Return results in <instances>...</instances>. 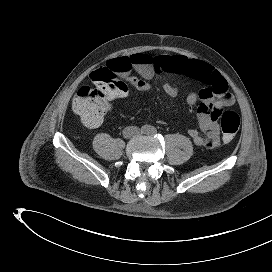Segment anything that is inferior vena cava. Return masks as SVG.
<instances>
[{
	"instance_id": "602c4592",
	"label": "inferior vena cava",
	"mask_w": 272,
	"mask_h": 272,
	"mask_svg": "<svg viewBox=\"0 0 272 272\" xmlns=\"http://www.w3.org/2000/svg\"><path fill=\"white\" fill-rule=\"evenodd\" d=\"M139 133H140L139 128L135 126H128L123 130V135L125 138L134 137Z\"/></svg>"
}]
</instances>
